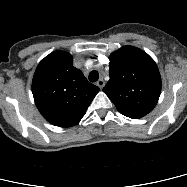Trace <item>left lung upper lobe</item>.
Returning a JSON list of instances; mask_svg holds the SVG:
<instances>
[{"instance_id": "1", "label": "left lung upper lobe", "mask_w": 187, "mask_h": 187, "mask_svg": "<svg viewBox=\"0 0 187 187\" xmlns=\"http://www.w3.org/2000/svg\"><path fill=\"white\" fill-rule=\"evenodd\" d=\"M110 80L103 91L126 117L138 119L153 110L161 93L156 63L144 51L124 46L110 57Z\"/></svg>"}]
</instances>
